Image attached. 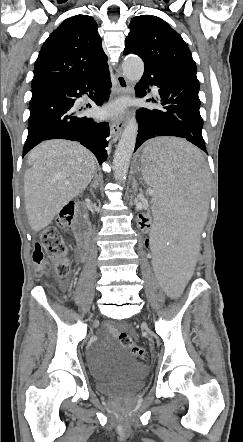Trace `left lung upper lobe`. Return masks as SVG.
<instances>
[{"label":"left lung upper lobe","instance_id":"obj_1","mask_svg":"<svg viewBox=\"0 0 243 442\" xmlns=\"http://www.w3.org/2000/svg\"><path fill=\"white\" fill-rule=\"evenodd\" d=\"M124 54L134 53L145 65L196 75L188 45L169 24L156 16L142 15L130 22Z\"/></svg>","mask_w":243,"mask_h":442}]
</instances>
